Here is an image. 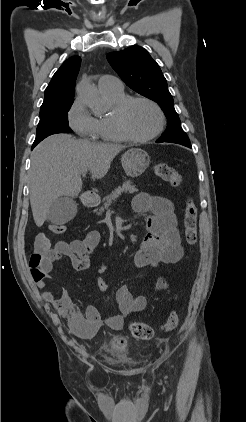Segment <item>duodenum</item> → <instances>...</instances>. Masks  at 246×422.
Segmentation results:
<instances>
[{
  "label": "duodenum",
  "instance_id": "1",
  "mask_svg": "<svg viewBox=\"0 0 246 422\" xmlns=\"http://www.w3.org/2000/svg\"><path fill=\"white\" fill-rule=\"evenodd\" d=\"M83 203H84V205H85L86 207H88V208H93V207L97 206V204H98V199H97V197H95V196L88 195V196H85V197L83 198Z\"/></svg>",
  "mask_w": 246,
  "mask_h": 422
}]
</instances>
